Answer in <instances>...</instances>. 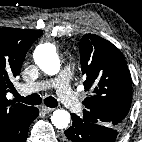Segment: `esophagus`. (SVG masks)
<instances>
[{"label":"esophagus","instance_id":"1","mask_svg":"<svg viewBox=\"0 0 142 142\" xmlns=\"http://www.w3.org/2000/svg\"><path fill=\"white\" fill-rule=\"evenodd\" d=\"M41 108L45 113H50L54 110L53 108H49V107L44 106V105Z\"/></svg>","mask_w":142,"mask_h":142}]
</instances>
